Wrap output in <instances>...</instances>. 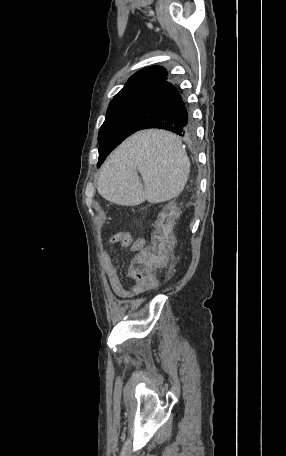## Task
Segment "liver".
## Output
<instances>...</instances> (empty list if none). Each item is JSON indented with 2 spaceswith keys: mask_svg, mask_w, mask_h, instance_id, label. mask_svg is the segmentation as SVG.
Masks as SVG:
<instances>
[{
  "mask_svg": "<svg viewBox=\"0 0 286 456\" xmlns=\"http://www.w3.org/2000/svg\"><path fill=\"white\" fill-rule=\"evenodd\" d=\"M189 172L190 161L179 137L165 130H143L127 138L109 156L97 191L122 206H136L145 200L161 203L180 195Z\"/></svg>",
  "mask_w": 286,
  "mask_h": 456,
  "instance_id": "6515ba94",
  "label": "liver"
}]
</instances>
